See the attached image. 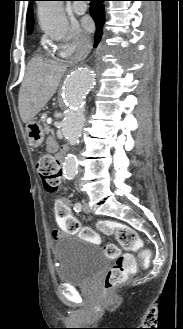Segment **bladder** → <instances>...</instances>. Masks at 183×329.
<instances>
[{"label":"bladder","mask_w":183,"mask_h":329,"mask_svg":"<svg viewBox=\"0 0 183 329\" xmlns=\"http://www.w3.org/2000/svg\"><path fill=\"white\" fill-rule=\"evenodd\" d=\"M53 254L58 263V279L66 284H87L109 265L99 247L74 235L60 237L53 245Z\"/></svg>","instance_id":"obj_1"}]
</instances>
